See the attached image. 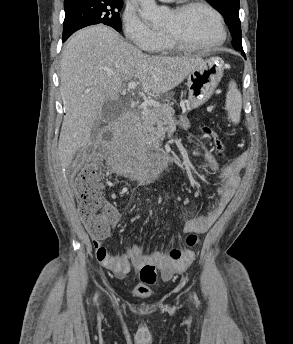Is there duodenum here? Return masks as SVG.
Returning a JSON list of instances; mask_svg holds the SVG:
<instances>
[{
  "label": "duodenum",
  "instance_id": "obj_1",
  "mask_svg": "<svg viewBox=\"0 0 293 344\" xmlns=\"http://www.w3.org/2000/svg\"><path fill=\"white\" fill-rule=\"evenodd\" d=\"M123 121H130V115H126L121 122ZM161 159L164 161H167L168 164H171L173 162V156L171 154H162Z\"/></svg>",
  "mask_w": 293,
  "mask_h": 344
}]
</instances>
